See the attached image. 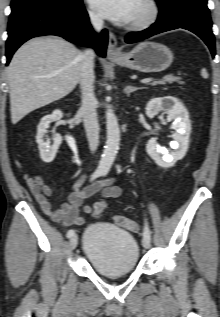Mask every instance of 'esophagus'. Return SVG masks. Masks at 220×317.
<instances>
[{
  "label": "esophagus",
  "instance_id": "1",
  "mask_svg": "<svg viewBox=\"0 0 220 317\" xmlns=\"http://www.w3.org/2000/svg\"><path fill=\"white\" fill-rule=\"evenodd\" d=\"M120 54V50L117 47L116 36L112 32H110L107 46V57L113 58L119 56Z\"/></svg>",
  "mask_w": 220,
  "mask_h": 317
}]
</instances>
